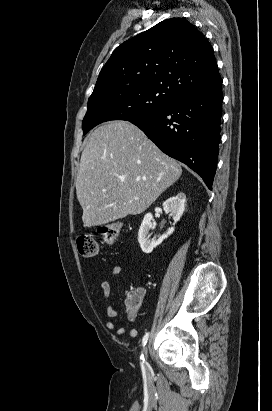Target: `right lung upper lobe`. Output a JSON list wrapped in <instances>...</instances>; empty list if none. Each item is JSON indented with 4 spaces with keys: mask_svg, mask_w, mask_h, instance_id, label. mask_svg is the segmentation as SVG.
<instances>
[{
    "mask_svg": "<svg viewBox=\"0 0 272 411\" xmlns=\"http://www.w3.org/2000/svg\"><path fill=\"white\" fill-rule=\"evenodd\" d=\"M221 80L204 35L187 20L171 18L122 43L101 70L93 92L154 87L177 98Z\"/></svg>",
    "mask_w": 272,
    "mask_h": 411,
    "instance_id": "right-lung-upper-lobe-1",
    "label": "right lung upper lobe"
}]
</instances>
